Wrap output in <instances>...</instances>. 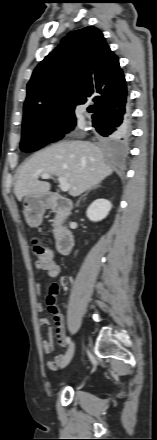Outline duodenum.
I'll use <instances>...</instances> for the list:
<instances>
[{
	"label": "duodenum",
	"instance_id": "410a0bca",
	"mask_svg": "<svg viewBox=\"0 0 157 440\" xmlns=\"http://www.w3.org/2000/svg\"><path fill=\"white\" fill-rule=\"evenodd\" d=\"M47 206L50 210L59 215V220L63 222L71 210V202L60 195L52 194L47 199ZM74 234L64 225H61L58 231L56 249L59 255H68L73 246Z\"/></svg>",
	"mask_w": 157,
	"mask_h": 440
}]
</instances>
